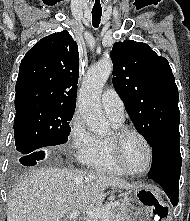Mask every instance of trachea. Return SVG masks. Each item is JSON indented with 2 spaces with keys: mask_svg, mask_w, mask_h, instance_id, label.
<instances>
[{
  "mask_svg": "<svg viewBox=\"0 0 190 221\" xmlns=\"http://www.w3.org/2000/svg\"><path fill=\"white\" fill-rule=\"evenodd\" d=\"M102 16V10H92V23L94 27H98Z\"/></svg>",
  "mask_w": 190,
  "mask_h": 221,
  "instance_id": "trachea-1",
  "label": "trachea"
}]
</instances>
